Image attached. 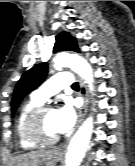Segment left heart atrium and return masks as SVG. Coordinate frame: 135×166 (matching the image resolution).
Returning <instances> with one entry per match:
<instances>
[{
    "mask_svg": "<svg viewBox=\"0 0 135 166\" xmlns=\"http://www.w3.org/2000/svg\"><path fill=\"white\" fill-rule=\"evenodd\" d=\"M76 121V113L70 103H65L54 111V124L58 134L69 132Z\"/></svg>",
    "mask_w": 135,
    "mask_h": 166,
    "instance_id": "left-heart-atrium-1",
    "label": "left heart atrium"
}]
</instances>
